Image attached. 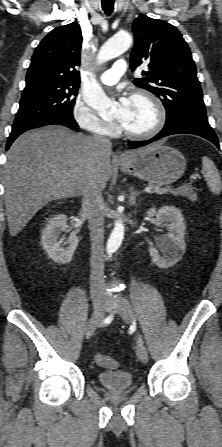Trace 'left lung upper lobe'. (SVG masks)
<instances>
[{
    "label": "left lung upper lobe",
    "mask_w": 222,
    "mask_h": 447,
    "mask_svg": "<svg viewBox=\"0 0 222 447\" xmlns=\"http://www.w3.org/2000/svg\"><path fill=\"white\" fill-rule=\"evenodd\" d=\"M133 32L132 70L143 62L149 67L134 84L162 100L166 122L179 115L208 122L196 67L180 32L173 25L146 15L135 19Z\"/></svg>",
    "instance_id": "5c2ea615"
}]
</instances>
